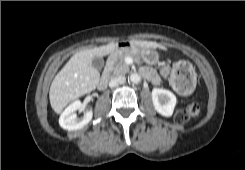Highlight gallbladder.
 <instances>
[{"instance_id":"obj_1","label":"gallbladder","mask_w":245,"mask_h":170,"mask_svg":"<svg viewBox=\"0 0 245 170\" xmlns=\"http://www.w3.org/2000/svg\"><path fill=\"white\" fill-rule=\"evenodd\" d=\"M92 66L97 70H102L104 67V59L102 57H95L92 60Z\"/></svg>"}]
</instances>
